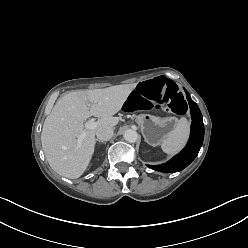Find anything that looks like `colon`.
Here are the masks:
<instances>
[{"label":"colon","instance_id":"obj_1","mask_svg":"<svg viewBox=\"0 0 248 248\" xmlns=\"http://www.w3.org/2000/svg\"><path fill=\"white\" fill-rule=\"evenodd\" d=\"M167 107L176 115L186 112L187 106L179 88L171 81L157 78L140 84L124 100L123 107L133 113L138 110L159 109Z\"/></svg>","mask_w":248,"mask_h":248}]
</instances>
